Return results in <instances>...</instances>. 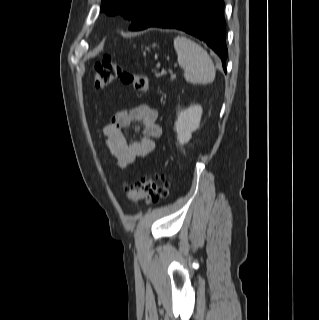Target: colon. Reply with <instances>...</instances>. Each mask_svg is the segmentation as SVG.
Returning a JSON list of instances; mask_svg holds the SVG:
<instances>
[{
  "label": "colon",
  "instance_id": "colon-1",
  "mask_svg": "<svg viewBox=\"0 0 319 320\" xmlns=\"http://www.w3.org/2000/svg\"><path fill=\"white\" fill-rule=\"evenodd\" d=\"M119 78L131 85L138 93H145L148 90V78L144 74L123 71L110 56L103 57L94 65L93 85L96 89L105 88ZM168 184L166 175H155L127 187L125 192L128 200L132 202L144 200L152 203L168 196Z\"/></svg>",
  "mask_w": 319,
  "mask_h": 320
}]
</instances>
